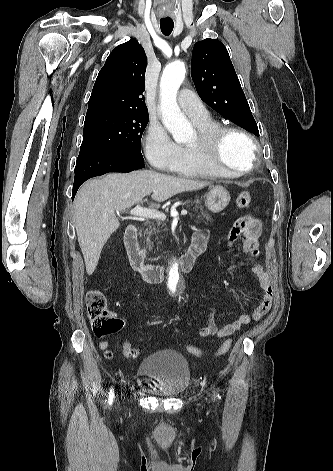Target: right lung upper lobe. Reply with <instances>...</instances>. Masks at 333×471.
Returning <instances> with one entry per match:
<instances>
[{"label":"right lung upper lobe","mask_w":333,"mask_h":471,"mask_svg":"<svg viewBox=\"0 0 333 471\" xmlns=\"http://www.w3.org/2000/svg\"><path fill=\"white\" fill-rule=\"evenodd\" d=\"M146 54L131 38L108 56L94 84L86 117L107 112L148 113L145 91Z\"/></svg>","instance_id":"right-lung-upper-lobe-1"}]
</instances>
